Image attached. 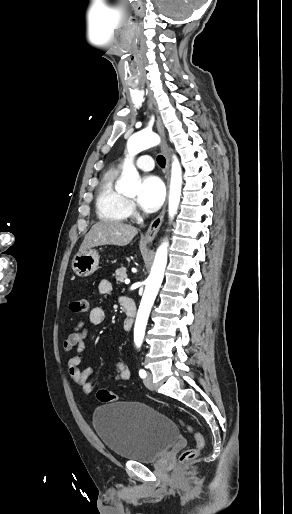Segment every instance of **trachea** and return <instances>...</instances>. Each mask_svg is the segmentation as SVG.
I'll return each instance as SVG.
<instances>
[{"mask_svg": "<svg viewBox=\"0 0 292 514\" xmlns=\"http://www.w3.org/2000/svg\"><path fill=\"white\" fill-rule=\"evenodd\" d=\"M157 163H158V165H159L162 169H164L165 164H166V160H165V158L163 157V155H158V157H157Z\"/></svg>", "mask_w": 292, "mask_h": 514, "instance_id": "3493384b", "label": "trachea"}]
</instances>
